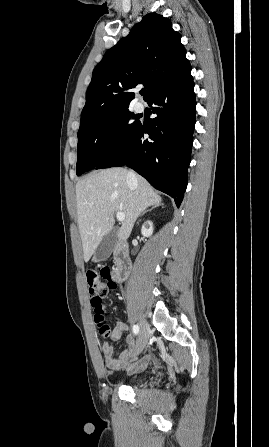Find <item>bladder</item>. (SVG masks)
<instances>
[{"label":"bladder","instance_id":"1","mask_svg":"<svg viewBox=\"0 0 269 447\" xmlns=\"http://www.w3.org/2000/svg\"><path fill=\"white\" fill-rule=\"evenodd\" d=\"M151 377L150 374H134L130 381L134 384V385H141L144 384V382L149 379Z\"/></svg>","mask_w":269,"mask_h":447}]
</instances>
